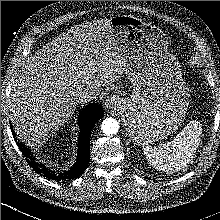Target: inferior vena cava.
Returning a JSON list of instances; mask_svg holds the SVG:
<instances>
[{
    "mask_svg": "<svg viewBox=\"0 0 220 220\" xmlns=\"http://www.w3.org/2000/svg\"><path fill=\"white\" fill-rule=\"evenodd\" d=\"M98 94H99V92L96 90L84 91L82 94H80V96L78 98L79 103L89 102L92 99H95Z\"/></svg>",
    "mask_w": 220,
    "mask_h": 220,
    "instance_id": "obj_1",
    "label": "inferior vena cava"
}]
</instances>
